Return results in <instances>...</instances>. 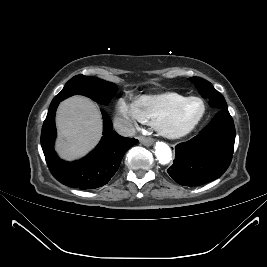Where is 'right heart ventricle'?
Here are the masks:
<instances>
[{
  "label": "right heart ventricle",
  "instance_id": "obj_1",
  "mask_svg": "<svg viewBox=\"0 0 267 267\" xmlns=\"http://www.w3.org/2000/svg\"><path fill=\"white\" fill-rule=\"evenodd\" d=\"M185 98V95L175 92L144 95L135 101V105L142 119L154 125L160 117L169 112Z\"/></svg>",
  "mask_w": 267,
  "mask_h": 267
}]
</instances>
